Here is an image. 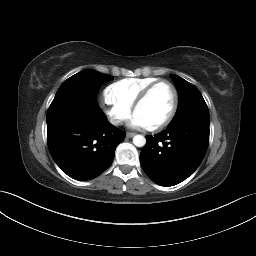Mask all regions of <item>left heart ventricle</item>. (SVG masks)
Returning <instances> with one entry per match:
<instances>
[{"label":"left heart ventricle","instance_id":"left-heart-ventricle-1","mask_svg":"<svg viewBox=\"0 0 256 256\" xmlns=\"http://www.w3.org/2000/svg\"><path fill=\"white\" fill-rule=\"evenodd\" d=\"M173 103V91L167 84L157 86L147 100L136 110L145 126L154 125L163 120Z\"/></svg>","mask_w":256,"mask_h":256}]
</instances>
